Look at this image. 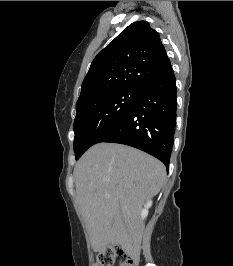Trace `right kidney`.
<instances>
[{
  "label": "right kidney",
  "instance_id": "ca27d5eb",
  "mask_svg": "<svg viewBox=\"0 0 233 266\" xmlns=\"http://www.w3.org/2000/svg\"><path fill=\"white\" fill-rule=\"evenodd\" d=\"M152 201H147V203L144 205V209L141 211V217L142 219L146 218L148 215V209L151 207Z\"/></svg>",
  "mask_w": 233,
  "mask_h": 266
}]
</instances>
